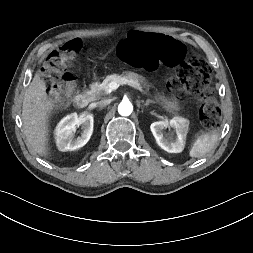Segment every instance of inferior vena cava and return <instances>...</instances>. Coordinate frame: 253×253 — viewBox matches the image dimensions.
<instances>
[{"label":"inferior vena cava","instance_id":"1","mask_svg":"<svg viewBox=\"0 0 253 253\" xmlns=\"http://www.w3.org/2000/svg\"><path fill=\"white\" fill-rule=\"evenodd\" d=\"M109 103H110V100L105 99V100L99 101V102H98V105H99L100 107H105V106L108 105Z\"/></svg>","mask_w":253,"mask_h":253}]
</instances>
